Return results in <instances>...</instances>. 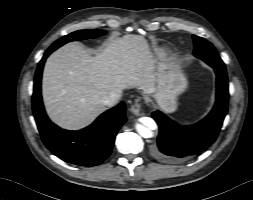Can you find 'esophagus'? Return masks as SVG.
Returning <instances> with one entry per match:
<instances>
[{
  "mask_svg": "<svg viewBox=\"0 0 253 200\" xmlns=\"http://www.w3.org/2000/svg\"><path fill=\"white\" fill-rule=\"evenodd\" d=\"M130 111L136 115V116H140L141 115V104L139 102H135L131 107H130Z\"/></svg>",
  "mask_w": 253,
  "mask_h": 200,
  "instance_id": "34e87169",
  "label": "esophagus"
}]
</instances>
